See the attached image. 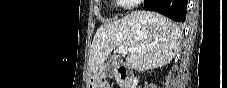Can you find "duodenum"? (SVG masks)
Returning <instances> with one entry per match:
<instances>
[{
    "mask_svg": "<svg viewBox=\"0 0 227 88\" xmlns=\"http://www.w3.org/2000/svg\"><path fill=\"white\" fill-rule=\"evenodd\" d=\"M113 66L118 71L122 84L125 88H136L133 73L124 61H114Z\"/></svg>",
    "mask_w": 227,
    "mask_h": 88,
    "instance_id": "obj_1",
    "label": "duodenum"
}]
</instances>
